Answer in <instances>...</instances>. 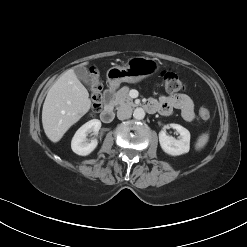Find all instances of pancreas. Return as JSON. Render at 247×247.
Segmentation results:
<instances>
[{"label":"pancreas","instance_id":"pancreas-1","mask_svg":"<svg viewBox=\"0 0 247 247\" xmlns=\"http://www.w3.org/2000/svg\"><path fill=\"white\" fill-rule=\"evenodd\" d=\"M129 87L124 86L115 93L113 104L115 106H135L133 99L129 96Z\"/></svg>","mask_w":247,"mask_h":247}]
</instances>
